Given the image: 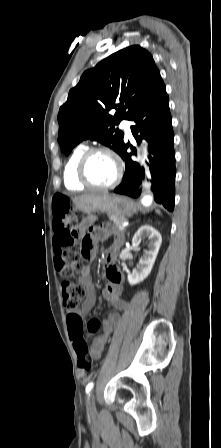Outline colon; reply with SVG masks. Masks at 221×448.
I'll return each mask as SVG.
<instances>
[{"mask_svg": "<svg viewBox=\"0 0 221 448\" xmlns=\"http://www.w3.org/2000/svg\"><path fill=\"white\" fill-rule=\"evenodd\" d=\"M52 213L55 220L56 234L54 236L55 267L64 278L61 290L63 303L67 309H76L85 295V288L76 284L72 275L83 269L84 262L90 255L91 240L77 231L79 215L71 210L70 200L65 195H56L53 198ZM68 217V218H67ZM99 321L91 318L86 325L89 334H95L99 329ZM68 329L75 344L77 366L79 369L89 371L92 367L89 347L82 340L84 324L80 317L68 316Z\"/></svg>", "mask_w": 221, "mask_h": 448, "instance_id": "colon-1", "label": "colon"}]
</instances>
